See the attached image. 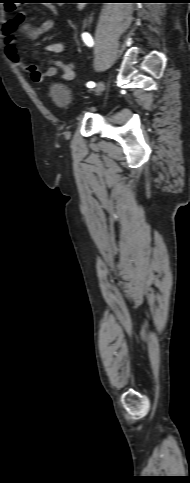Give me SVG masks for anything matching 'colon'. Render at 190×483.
<instances>
[{"mask_svg": "<svg viewBox=\"0 0 190 483\" xmlns=\"http://www.w3.org/2000/svg\"><path fill=\"white\" fill-rule=\"evenodd\" d=\"M22 1L14 0V1H7V4L10 6L11 10H15L19 5H22Z\"/></svg>", "mask_w": 190, "mask_h": 483, "instance_id": "5ec220e1", "label": "colon"}]
</instances>
